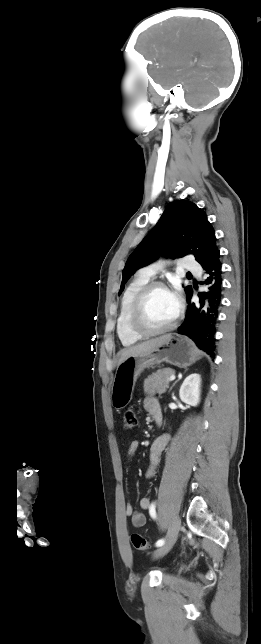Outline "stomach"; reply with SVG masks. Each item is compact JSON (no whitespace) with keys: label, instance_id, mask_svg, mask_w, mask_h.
<instances>
[{"label":"stomach","instance_id":"0dacf381","mask_svg":"<svg viewBox=\"0 0 261 644\" xmlns=\"http://www.w3.org/2000/svg\"><path fill=\"white\" fill-rule=\"evenodd\" d=\"M201 357V352L193 342L182 336H171L165 344L150 352L128 357L118 365L114 376L111 388L112 406L119 410L130 403L137 378L145 368L162 362L187 368Z\"/></svg>","mask_w":261,"mask_h":644}]
</instances>
